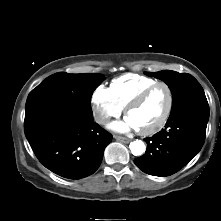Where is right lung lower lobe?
Here are the masks:
<instances>
[{
  "instance_id": "right-lung-lower-lobe-1",
  "label": "right lung lower lobe",
  "mask_w": 221,
  "mask_h": 221,
  "mask_svg": "<svg viewBox=\"0 0 221 221\" xmlns=\"http://www.w3.org/2000/svg\"><path fill=\"white\" fill-rule=\"evenodd\" d=\"M24 131L41 164L68 179L93 174L112 140L93 117L85 118L55 102L27 110Z\"/></svg>"
}]
</instances>
